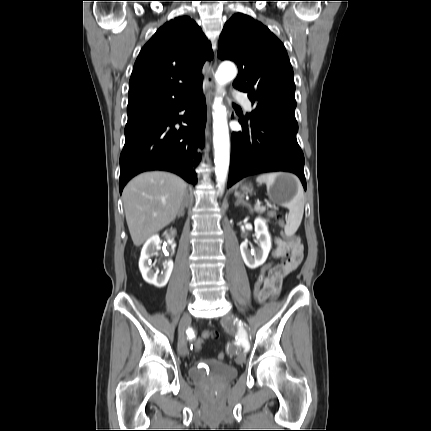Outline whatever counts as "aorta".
Listing matches in <instances>:
<instances>
[{"label": "aorta", "instance_id": "aorta-1", "mask_svg": "<svg viewBox=\"0 0 431 431\" xmlns=\"http://www.w3.org/2000/svg\"><path fill=\"white\" fill-rule=\"evenodd\" d=\"M237 75V69L231 62H223L218 67L215 80L218 91H223L222 87L233 80ZM213 144H214V163L217 186L220 192L223 191L230 162V141L227 124L226 108L222 104V97H216L213 104Z\"/></svg>", "mask_w": 431, "mask_h": 431}]
</instances>
